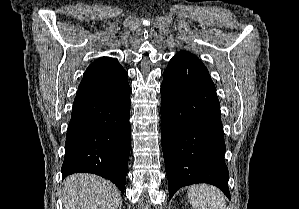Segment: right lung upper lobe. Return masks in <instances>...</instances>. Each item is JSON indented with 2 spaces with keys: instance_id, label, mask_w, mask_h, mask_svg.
<instances>
[{
  "instance_id": "right-lung-upper-lobe-1",
  "label": "right lung upper lobe",
  "mask_w": 299,
  "mask_h": 209,
  "mask_svg": "<svg viewBox=\"0 0 299 209\" xmlns=\"http://www.w3.org/2000/svg\"><path fill=\"white\" fill-rule=\"evenodd\" d=\"M103 68L116 71L117 74H122L126 72L116 60L110 57H101L100 59H97L89 65L87 70H98Z\"/></svg>"
}]
</instances>
